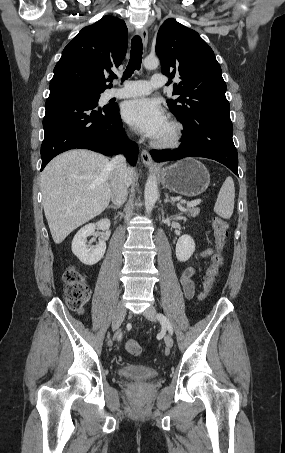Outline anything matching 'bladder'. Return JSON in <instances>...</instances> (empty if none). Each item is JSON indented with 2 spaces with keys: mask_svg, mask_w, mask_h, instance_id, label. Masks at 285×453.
Here are the masks:
<instances>
[{
  "mask_svg": "<svg viewBox=\"0 0 285 453\" xmlns=\"http://www.w3.org/2000/svg\"><path fill=\"white\" fill-rule=\"evenodd\" d=\"M118 375L135 381H148L156 378L159 375V372L150 366L127 364L118 369Z\"/></svg>",
  "mask_w": 285,
  "mask_h": 453,
  "instance_id": "obj_1",
  "label": "bladder"
}]
</instances>
